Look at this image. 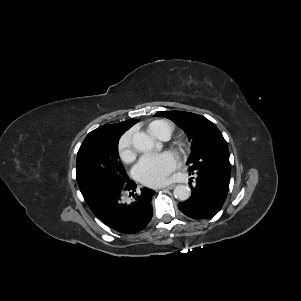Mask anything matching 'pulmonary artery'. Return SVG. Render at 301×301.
Instances as JSON below:
<instances>
[{"label":"pulmonary artery","mask_w":301,"mask_h":301,"mask_svg":"<svg viewBox=\"0 0 301 301\" xmlns=\"http://www.w3.org/2000/svg\"><path fill=\"white\" fill-rule=\"evenodd\" d=\"M169 137H170V136H169V133H168V132H164V133L162 134V136H161L160 139H162V140H167Z\"/></svg>","instance_id":"obj_1"}]
</instances>
